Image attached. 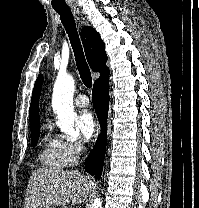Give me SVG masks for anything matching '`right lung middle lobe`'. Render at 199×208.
<instances>
[{"mask_svg": "<svg viewBox=\"0 0 199 208\" xmlns=\"http://www.w3.org/2000/svg\"><path fill=\"white\" fill-rule=\"evenodd\" d=\"M40 129L39 127L31 130V142L32 144L36 145L39 139Z\"/></svg>", "mask_w": 199, "mask_h": 208, "instance_id": "dd1d6c3e", "label": "right lung middle lobe"}]
</instances>
